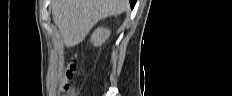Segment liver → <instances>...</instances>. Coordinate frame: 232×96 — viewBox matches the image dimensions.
<instances>
[{
  "instance_id": "obj_1",
  "label": "liver",
  "mask_w": 232,
  "mask_h": 96,
  "mask_svg": "<svg viewBox=\"0 0 232 96\" xmlns=\"http://www.w3.org/2000/svg\"><path fill=\"white\" fill-rule=\"evenodd\" d=\"M129 8L128 0H54L52 17L65 46L82 42L100 20Z\"/></svg>"
}]
</instances>
